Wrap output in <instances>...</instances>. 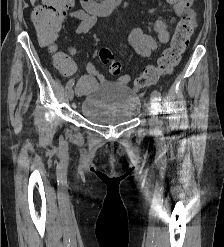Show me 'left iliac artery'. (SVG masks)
I'll list each match as a JSON object with an SVG mask.
<instances>
[{
	"instance_id": "1",
	"label": "left iliac artery",
	"mask_w": 224,
	"mask_h": 247,
	"mask_svg": "<svg viewBox=\"0 0 224 247\" xmlns=\"http://www.w3.org/2000/svg\"><path fill=\"white\" fill-rule=\"evenodd\" d=\"M152 95H153L158 101H161L162 97H161V94H160L159 91L154 90V91L152 92Z\"/></svg>"
}]
</instances>
